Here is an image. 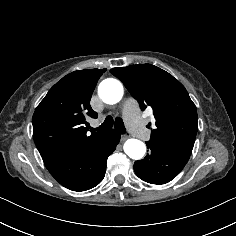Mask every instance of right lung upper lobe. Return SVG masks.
Wrapping results in <instances>:
<instances>
[{
    "instance_id": "1",
    "label": "right lung upper lobe",
    "mask_w": 236,
    "mask_h": 236,
    "mask_svg": "<svg viewBox=\"0 0 236 236\" xmlns=\"http://www.w3.org/2000/svg\"><path fill=\"white\" fill-rule=\"evenodd\" d=\"M106 69L74 71L57 82L34 112L33 138L44 163L96 141L108 131L87 135L85 115L97 118L90 99Z\"/></svg>"
}]
</instances>
